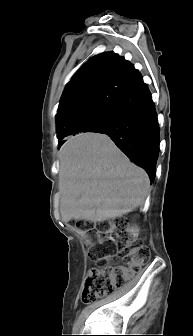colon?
I'll use <instances>...</instances> for the list:
<instances>
[{"mask_svg":"<svg viewBox=\"0 0 193 336\" xmlns=\"http://www.w3.org/2000/svg\"><path fill=\"white\" fill-rule=\"evenodd\" d=\"M84 230L94 235L99 243L102 256H117L122 265H105L91 269L86 277L81 293V301L90 304L126 285L150 258V249L140 240L132 239L126 232V222L116 218L110 223L93 226L80 224Z\"/></svg>","mask_w":193,"mask_h":336,"instance_id":"5ec220e1","label":"colon"}]
</instances>
